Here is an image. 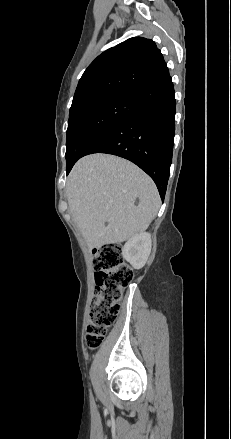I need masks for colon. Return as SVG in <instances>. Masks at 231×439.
I'll use <instances>...</instances> for the list:
<instances>
[{
  "label": "colon",
  "instance_id": "obj_1",
  "mask_svg": "<svg viewBox=\"0 0 231 439\" xmlns=\"http://www.w3.org/2000/svg\"><path fill=\"white\" fill-rule=\"evenodd\" d=\"M94 265L97 290L86 330V344L90 349L102 345L108 329L118 317L124 291L133 277L116 244L100 246L95 251Z\"/></svg>",
  "mask_w": 231,
  "mask_h": 439
}]
</instances>
